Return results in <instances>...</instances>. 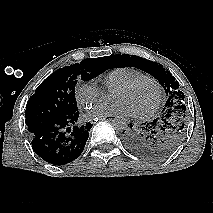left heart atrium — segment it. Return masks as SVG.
I'll return each instance as SVG.
<instances>
[{
    "instance_id": "left-heart-atrium-1",
    "label": "left heart atrium",
    "mask_w": 213,
    "mask_h": 213,
    "mask_svg": "<svg viewBox=\"0 0 213 213\" xmlns=\"http://www.w3.org/2000/svg\"><path fill=\"white\" fill-rule=\"evenodd\" d=\"M132 114V110L126 103L122 101H116L112 104L96 105L95 107L90 109L87 114V117L90 119H98L104 116H131Z\"/></svg>"
}]
</instances>
